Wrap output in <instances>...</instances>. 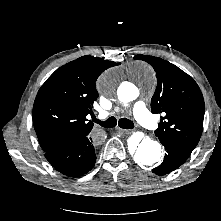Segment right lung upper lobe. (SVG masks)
I'll list each match as a JSON object with an SVG mask.
<instances>
[{
  "label": "right lung upper lobe",
  "instance_id": "1",
  "mask_svg": "<svg viewBox=\"0 0 221 221\" xmlns=\"http://www.w3.org/2000/svg\"><path fill=\"white\" fill-rule=\"evenodd\" d=\"M89 55L57 69L41 86L33 106L34 128L44 152L73 139L88 136L98 97L96 80L109 67L118 65Z\"/></svg>",
  "mask_w": 221,
  "mask_h": 221
}]
</instances>
